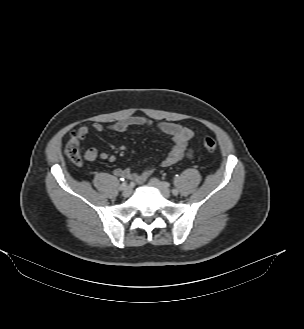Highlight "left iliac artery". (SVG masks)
I'll return each instance as SVG.
<instances>
[{"mask_svg":"<svg viewBox=\"0 0 304 329\" xmlns=\"http://www.w3.org/2000/svg\"><path fill=\"white\" fill-rule=\"evenodd\" d=\"M172 192H173L174 195L178 194V191L176 189H173Z\"/></svg>","mask_w":304,"mask_h":329,"instance_id":"obj_1","label":"left iliac artery"}]
</instances>
